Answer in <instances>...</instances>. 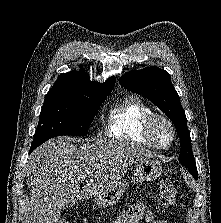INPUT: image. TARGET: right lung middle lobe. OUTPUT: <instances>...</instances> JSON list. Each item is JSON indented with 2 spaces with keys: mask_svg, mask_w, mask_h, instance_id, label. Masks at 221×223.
<instances>
[{
  "mask_svg": "<svg viewBox=\"0 0 221 223\" xmlns=\"http://www.w3.org/2000/svg\"><path fill=\"white\" fill-rule=\"evenodd\" d=\"M105 99L44 102L31 150L55 136L87 135L88 128Z\"/></svg>",
  "mask_w": 221,
  "mask_h": 223,
  "instance_id": "dd1d6c3e",
  "label": "right lung middle lobe"
}]
</instances>
